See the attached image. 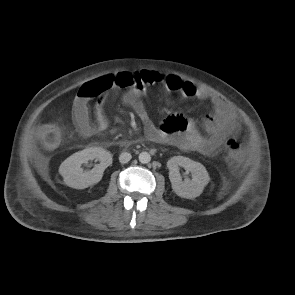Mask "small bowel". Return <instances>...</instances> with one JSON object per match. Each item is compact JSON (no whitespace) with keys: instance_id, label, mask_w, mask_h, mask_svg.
I'll use <instances>...</instances> for the list:
<instances>
[{"instance_id":"1","label":"small bowel","mask_w":295,"mask_h":295,"mask_svg":"<svg viewBox=\"0 0 295 295\" xmlns=\"http://www.w3.org/2000/svg\"><path fill=\"white\" fill-rule=\"evenodd\" d=\"M133 75L139 80V85L127 88L123 94V101L132 107L136 115L144 122L146 136L151 141L204 156H212L228 139L237 134L239 122L236 114L223 99L206 89L175 75L163 76L154 71H142ZM105 78L84 84L74 100L73 122L76 130L83 137H91L97 131L108 130L104 103L110 89L103 84ZM156 84H163L167 92L178 94L183 98L210 102L213 112L203 120L204 133H200L195 122L183 114L167 116L159 127L151 121L145 106V96L147 89ZM91 100H94L92 109L89 105Z\"/></svg>"}]
</instances>
